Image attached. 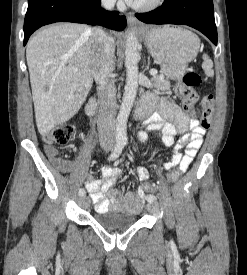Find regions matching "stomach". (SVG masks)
Here are the masks:
<instances>
[{"label":"stomach","mask_w":247,"mask_h":275,"mask_svg":"<svg viewBox=\"0 0 247 275\" xmlns=\"http://www.w3.org/2000/svg\"><path fill=\"white\" fill-rule=\"evenodd\" d=\"M141 35L163 73L174 80L184 75L200 47L198 37L180 27L148 26L141 31Z\"/></svg>","instance_id":"0dacf381"}]
</instances>
